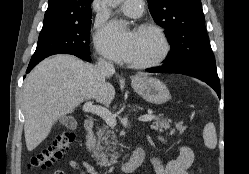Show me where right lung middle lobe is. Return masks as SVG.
Wrapping results in <instances>:
<instances>
[{
  "label": "right lung middle lobe",
  "mask_w": 249,
  "mask_h": 174,
  "mask_svg": "<svg viewBox=\"0 0 249 174\" xmlns=\"http://www.w3.org/2000/svg\"><path fill=\"white\" fill-rule=\"evenodd\" d=\"M91 22L89 18L78 23L42 29L30 62H36L54 54H90Z\"/></svg>",
  "instance_id": "1"
}]
</instances>
